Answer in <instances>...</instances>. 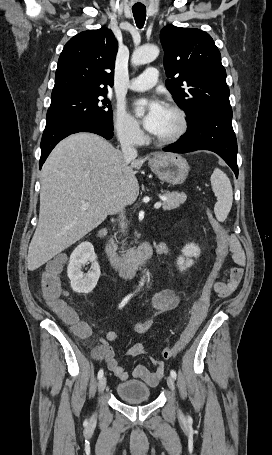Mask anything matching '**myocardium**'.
Returning <instances> with one entry per match:
<instances>
[{"instance_id": "1", "label": "myocardium", "mask_w": 272, "mask_h": 455, "mask_svg": "<svg viewBox=\"0 0 272 455\" xmlns=\"http://www.w3.org/2000/svg\"><path fill=\"white\" fill-rule=\"evenodd\" d=\"M166 108L170 109L177 117L178 127L174 133L165 137L153 136L155 143L159 145H170L179 141L188 130V118L186 112L177 104L169 102Z\"/></svg>"}]
</instances>
